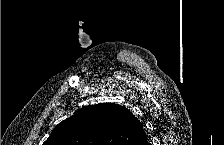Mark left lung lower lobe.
<instances>
[{"label": "left lung lower lobe", "instance_id": "obj_1", "mask_svg": "<svg viewBox=\"0 0 224 145\" xmlns=\"http://www.w3.org/2000/svg\"><path fill=\"white\" fill-rule=\"evenodd\" d=\"M136 145H148V140L145 132L143 133L142 137L140 138V140L137 142Z\"/></svg>", "mask_w": 224, "mask_h": 145}]
</instances>
